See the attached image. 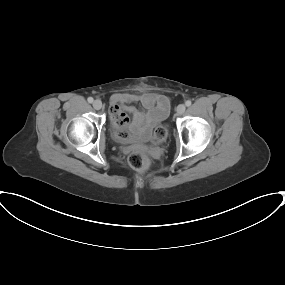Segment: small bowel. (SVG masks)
I'll use <instances>...</instances> for the list:
<instances>
[{"label": "small bowel", "mask_w": 285, "mask_h": 285, "mask_svg": "<svg viewBox=\"0 0 285 285\" xmlns=\"http://www.w3.org/2000/svg\"><path fill=\"white\" fill-rule=\"evenodd\" d=\"M131 103H139L142 109L138 110L130 106ZM112 106L111 118L118 127V121L123 120V130L148 133L154 125L168 114L170 100L159 93L132 94L123 93L110 99Z\"/></svg>", "instance_id": "c3829d8e"}]
</instances>
